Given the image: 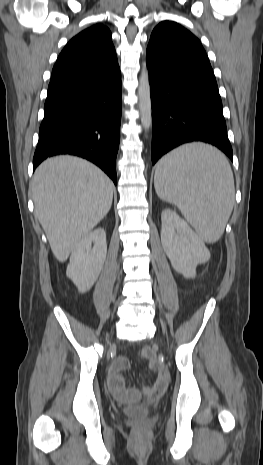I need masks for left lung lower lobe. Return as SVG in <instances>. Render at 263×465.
<instances>
[{
  "mask_svg": "<svg viewBox=\"0 0 263 465\" xmlns=\"http://www.w3.org/2000/svg\"><path fill=\"white\" fill-rule=\"evenodd\" d=\"M152 101V164L181 144L202 141L231 160L222 102L207 61L146 51Z\"/></svg>",
  "mask_w": 263,
  "mask_h": 465,
  "instance_id": "0a47b994",
  "label": "left lung lower lobe"
}]
</instances>
